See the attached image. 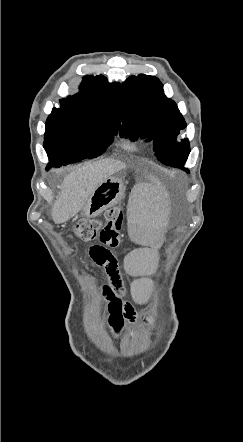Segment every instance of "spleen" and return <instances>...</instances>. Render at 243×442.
Returning a JSON list of instances; mask_svg holds the SVG:
<instances>
[{
  "label": "spleen",
  "mask_w": 243,
  "mask_h": 442,
  "mask_svg": "<svg viewBox=\"0 0 243 442\" xmlns=\"http://www.w3.org/2000/svg\"><path fill=\"white\" fill-rule=\"evenodd\" d=\"M143 182L134 183L131 193H126L128 235L132 242H142L143 248H155L156 242H162L163 226H171V217H166L170 202L166 193H162V185L156 182V173H143ZM161 250L149 249L148 254H134L129 266L132 274H157L161 263ZM155 289L152 277H145L143 282H137L136 287H131V296H138L141 305L151 301Z\"/></svg>",
  "instance_id": "spleen-1"
}]
</instances>
